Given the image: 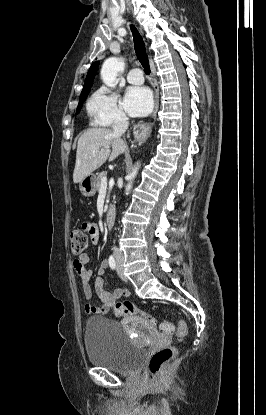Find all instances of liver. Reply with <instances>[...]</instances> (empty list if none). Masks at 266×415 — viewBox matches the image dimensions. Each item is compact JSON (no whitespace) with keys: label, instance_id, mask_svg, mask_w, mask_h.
<instances>
[{"label":"liver","instance_id":"6515ba94","mask_svg":"<svg viewBox=\"0 0 266 415\" xmlns=\"http://www.w3.org/2000/svg\"><path fill=\"white\" fill-rule=\"evenodd\" d=\"M126 149L125 142L119 136H115L111 129L89 128L85 130L78 140L73 172L74 183H80L108 158L109 161H113Z\"/></svg>","mask_w":266,"mask_h":415}]
</instances>
